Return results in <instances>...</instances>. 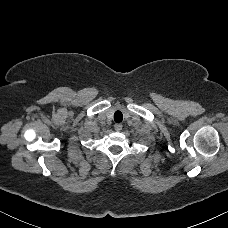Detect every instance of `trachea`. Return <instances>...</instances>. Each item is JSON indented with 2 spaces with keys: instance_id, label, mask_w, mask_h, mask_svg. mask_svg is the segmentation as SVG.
<instances>
[{
  "instance_id": "obj_1",
  "label": "trachea",
  "mask_w": 228,
  "mask_h": 228,
  "mask_svg": "<svg viewBox=\"0 0 228 228\" xmlns=\"http://www.w3.org/2000/svg\"><path fill=\"white\" fill-rule=\"evenodd\" d=\"M113 117H114V121L117 123H120L123 120L122 112L119 110L114 113Z\"/></svg>"
}]
</instances>
